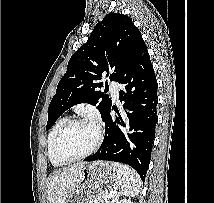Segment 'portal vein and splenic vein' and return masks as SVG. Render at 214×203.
<instances>
[{"label": "portal vein and splenic vein", "instance_id": "18ae733b", "mask_svg": "<svg viewBox=\"0 0 214 203\" xmlns=\"http://www.w3.org/2000/svg\"><path fill=\"white\" fill-rule=\"evenodd\" d=\"M116 191L115 190H111V192H110V197L111 198H114L115 196H116Z\"/></svg>", "mask_w": 214, "mask_h": 203}]
</instances>
